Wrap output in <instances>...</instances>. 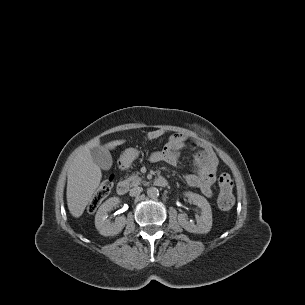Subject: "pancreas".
Masks as SVG:
<instances>
[{"mask_svg": "<svg viewBox=\"0 0 305 305\" xmlns=\"http://www.w3.org/2000/svg\"><path fill=\"white\" fill-rule=\"evenodd\" d=\"M125 181H126L130 186H137V185H140V184L143 182V181H142V178L139 177L138 173L129 176Z\"/></svg>", "mask_w": 305, "mask_h": 305, "instance_id": "1", "label": "pancreas"}]
</instances>
